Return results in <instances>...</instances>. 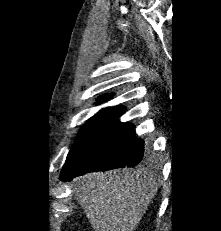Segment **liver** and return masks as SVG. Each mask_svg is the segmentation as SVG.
I'll use <instances>...</instances> for the list:
<instances>
[{"instance_id":"liver-1","label":"liver","mask_w":221,"mask_h":231,"mask_svg":"<svg viewBox=\"0 0 221 231\" xmlns=\"http://www.w3.org/2000/svg\"><path fill=\"white\" fill-rule=\"evenodd\" d=\"M73 185L95 231H134L157 192L156 179L143 169L89 173Z\"/></svg>"}]
</instances>
